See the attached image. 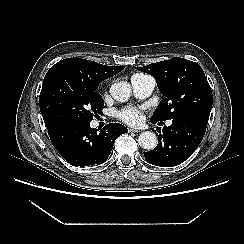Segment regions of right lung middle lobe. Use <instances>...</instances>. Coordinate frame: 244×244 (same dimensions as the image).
I'll return each mask as SVG.
<instances>
[{"label":"right lung middle lobe","instance_id":"right-lung-middle-lobe-1","mask_svg":"<svg viewBox=\"0 0 244 244\" xmlns=\"http://www.w3.org/2000/svg\"><path fill=\"white\" fill-rule=\"evenodd\" d=\"M95 90L59 72L47 73L39 97L47 129L68 122H91L101 114L104 101Z\"/></svg>","mask_w":244,"mask_h":244}]
</instances>
